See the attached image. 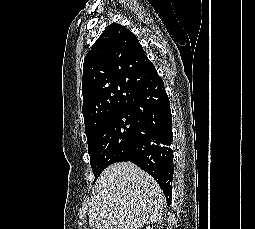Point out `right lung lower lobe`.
Listing matches in <instances>:
<instances>
[{
	"instance_id": "right-lung-lower-lobe-1",
	"label": "right lung lower lobe",
	"mask_w": 255,
	"mask_h": 229,
	"mask_svg": "<svg viewBox=\"0 0 255 229\" xmlns=\"http://www.w3.org/2000/svg\"><path fill=\"white\" fill-rule=\"evenodd\" d=\"M123 110L136 120L127 161L156 180L170 206L174 173L172 116L164 82L157 71L141 82L138 92Z\"/></svg>"
}]
</instances>
